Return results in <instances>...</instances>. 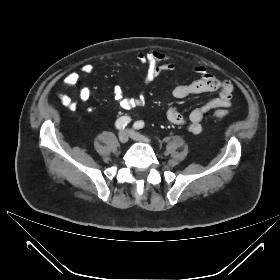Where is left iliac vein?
Listing matches in <instances>:
<instances>
[{"label":"left iliac vein","instance_id":"obj_1","mask_svg":"<svg viewBox=\"0 0 280 280\" xmlns=\"http://www.w3.org/2000/svg\"><path fill=\"white\" fill-rule=\"evenodd\" d=\"M129 133H130V137L136 141L143 142V143H150V140L148 138L142 136L141 134L133 130H130Z\"/></svg>","mask_w":280,"mask_h":280}]
</instances>
